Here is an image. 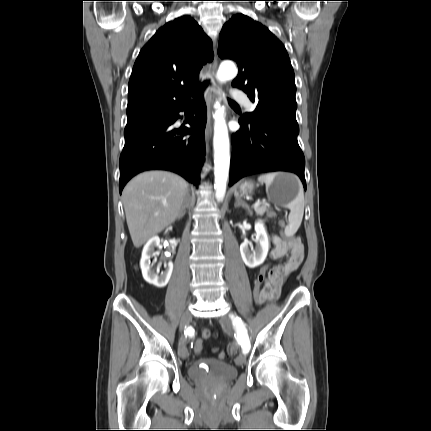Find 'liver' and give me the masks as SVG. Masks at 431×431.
<instances>
[{
    "label": "liver",
    "mask_w": 431,
    "mask_h": 431,
    "mask_svg": "<svg viewBox=\"0 0 431 431\" xmlns=\"http://www.w3.org/2000/svg\"><path fill=\"white\" fill-rule=\"evenodd\" d=\"M187 192L183 178L165 171L141 173L125 186L123 206L136 248L175 222Z\"/></svg>",
    "instance_id": "obj_1"
}]
</instances>
